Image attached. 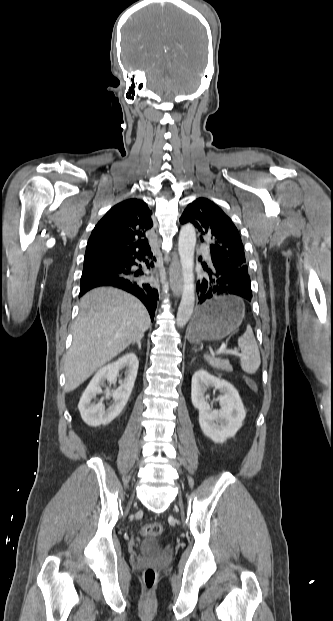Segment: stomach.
Wrapping results in <instances>:
<instances>
[{
    "label": "stomach",
    "instance_id": "stomach-1",
    "mask_svg": "<svg viewBox=\"0 0 333 621\" xmlns=\"http://www.w3.org/2000/svg\"><path fill=\"white\" fill-rule=\"evenodd\" d=\"M244 306L239 298L228 296L206 302L188 328L190 342L221 340L242 323Z\"/></svg>",
    "mask_w": 333,
    "mask_h": 621
}]
</instances>
